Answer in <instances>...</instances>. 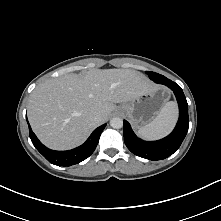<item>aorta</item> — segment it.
Instances as JSON below:
<instances>
[{
  "label": "aorta",
  "instance_id": "aorta-1",
  "mask_svg": "<svg viewBox=\"0 0 221 221\" xmlns=\"http://www.w3.org/2000/svg\"><path fill=\"white\" fill-rule=\"evenodd\" d=\"M110 125L114 129H120L123 127V120L119 117H114L110 120Z\"/></svg>",
  "mask_w": 221,
  "mask_h": 221
}]
</instances>
